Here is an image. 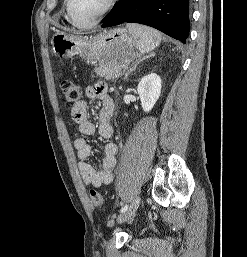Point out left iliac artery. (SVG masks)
<instances>
[{"label":"left iliac artery","instance_id":"44dca946","mask_svg":"<svg viewBox=\"0 0 247 257\" xmlns=\"http://www.w3.org/2000/svg\"><path fill=\"white\" fill-rule=\"evenodd\" d=\"M127 209H128V205H124V206L121 208L120 212H124V211H126Z\"/></svg>","mask_w":247,"mask_h":257}]
</instances>
